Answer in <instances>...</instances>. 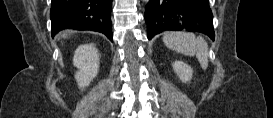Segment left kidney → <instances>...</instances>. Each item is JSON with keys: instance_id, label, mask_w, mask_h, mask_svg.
Returning a JSON list of instances; mask_svg holds the SVG:
<instances>
[{"instance_id": "1", "label": "left kidney", "mask_w": 273, "mask_h": 118, "mask_svg": "<svg viewBox=\"0 0 273 118\" xmlns=\"http://www.w3.org/2000/svg\"><path fill=\"white\" fill-rule=\"evenodd\" d=\"M172 66L175 73L178 75L182 82L186 83L191 80L193 70L189 65L185 64L182 61H175L173 62Z\"/></svg>"}]
</instances>
